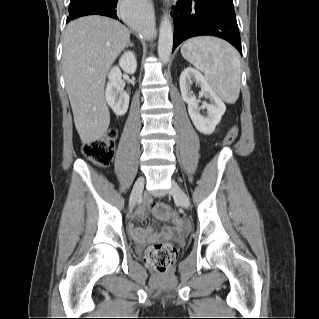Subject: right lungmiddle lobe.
<instances>
[{"label": "right lung middle lobe", "instance_id": "right-lung-middle-lobe-1", "mask_svg": "<svg viewBox=\"0 0 319 319\" xmlns=\"http://www.w3.org/2000/svg\"><path fill=\"white\" fill-rule=\"evenodd\" d=\"M85 0H70L69 13L73 12L76 8L83 4Z\"/></svg>", "mask_w": 319, "mask_h": 319}]
</instances>
